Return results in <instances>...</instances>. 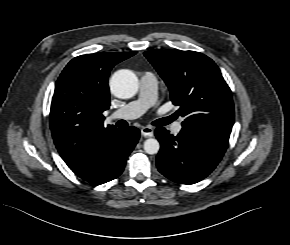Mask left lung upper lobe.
<instances>
[{
	"mask_svg": "<svg viewBox=\"0 0 290 245\" xmlns=\"http://www.w3.org/2000/svg\"><path fill=\"white\" fill-rule=\"evenodd\" d=\"M170 90L182 127L228 142L234 124L230 88L218 66L195 51L150 50L144 52Z\"/></svg>",
	"mask_w": 290,
	"mask_h": 245,
	"instance_id": "5c2ea615",
	"label": "left lung upper lobe"
}]
</instances>
